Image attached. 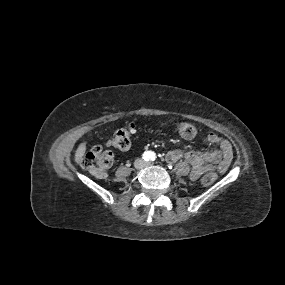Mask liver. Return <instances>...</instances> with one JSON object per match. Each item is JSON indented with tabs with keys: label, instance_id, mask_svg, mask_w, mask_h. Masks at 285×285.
<instances>
[{
	"label": "liver",
	"instance_id": "1",
	"mask_svg": "<svg viewBox=\"0 0 285 285\" xmlns=\"http://www.w3.org/2000/svg\"><path fill=\"white\" fill-rule=\"evenodd\" d=\"M85 151H86V144L85 143H82L78 146L76 152H75V158H74V161L76 163H80L83 159V156L85 154Z\"/></svg>",
	"mask_w": 285,
	"mask_h": 285
}]
</instances>
